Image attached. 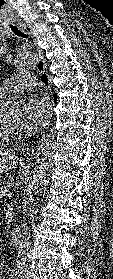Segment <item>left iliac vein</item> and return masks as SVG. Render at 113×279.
<instances>
[{
  "mask_svg": "<svg viewBox=\"0 0 113 279\" xmlns=\"http://www.w3.org/2000/svg\"><path fill=\"white\" fill-rule=\"evenodd\" d=\"M22 279H34V278L31 276H27V277H23Z\"/></svg>",
  "mask_w": 113,
  "mask_h": 279,
  "instance_id": "4c4485c4",
  "label": "left iliac vein"
}]
</instances>
